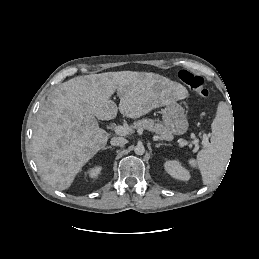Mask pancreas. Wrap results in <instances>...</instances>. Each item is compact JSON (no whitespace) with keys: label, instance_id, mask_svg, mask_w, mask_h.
<instances>
[{"label":"pancreas","instance_id":"obj_1","mask_svg":"<svg viewBox=\"0 0 259 259\" xmlns=\"http://www.w3.org/2000/svg\"><path fill=\"white\" fill-rule=\"evenodd\" d=\"M133 128H141L153 131L160 135L162 140L170 141L173 138L171 131H169L163 124L152 119H142L134 123Z\"/></svg>","mask_w":259,"mask_h":259}]
</instances>
